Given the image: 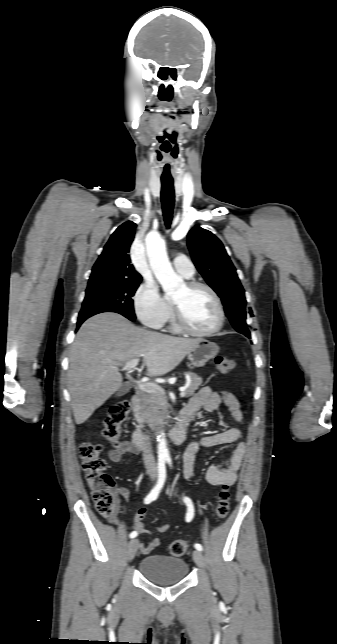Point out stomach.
Returning <instances> with one entry per match:
<instances>
[{
    "instance_id": "obj_1",
    "label": "stomach",
    "mask_w": 337,
    "mask_h": 644,
    "mask_svg": "<svg viewBox=\"0 0 337 644\" xmlns=\"http://www.w3.org/2000/svg\"><path fill=\"white\" fill-rule=\"evenodd\" d=\"M219 352V346L206 339H199L198 344L187 354L188 360L194 367L204 366Z\"/></svg>"
}]
</instances>
